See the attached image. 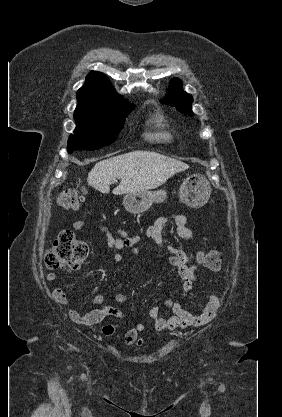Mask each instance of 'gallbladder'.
Returning <instances> with one entry per match:
<instances>
[{"label": "gallbladder", "mask_w": 282, "mask_h": 417, "mask_svg": "<svg viewBox=\"0 0 282 417\" xmlns=\"http://www.w3.org/2000/svg\"><path fill=\"white\" fill-rule=\"evenodd\" d=\"M81 190H82V192H84V194H85V192H87V190H86V188H84V186H82Z\"/></svg>", "instance_id": "gallbladder-1"}]
</instances>
